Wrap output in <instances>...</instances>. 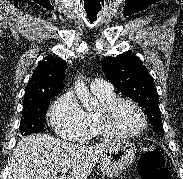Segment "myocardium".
Masks as SVG:
<instances>
[{
  "label": "myocardium",
  "mask_w": 183,
  "mask_h": 179,
  "mask_svg": "<svg viewBox=\"0 0 183 179\" xmlns=\"http://www.w3.org/2000/svg\"><path fill=\"white\" fill-rule=\"evenodd\" d=\"M123 103H128L136 108L142 118V124L140 128L133 133H120L113 129V127L111 126V118L114 112ZM96 123L101 134L106 137L117 139H131L139 136L145 131L148 125V119L142 106L135 100L127 97H115L100 106L99 110L96 112Z\"/></svg>",
  "instance_id": "f54148a6"
}]
</instances>
